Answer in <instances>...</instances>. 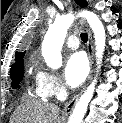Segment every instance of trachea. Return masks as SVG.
Listing matches in <instances>:
<instances>
[{
	"instance_id": "obj_1",
	"label": "trachea",
	"mask_w": 122,
	"mask_h": 123,
	"mask_svg": "<svg viewBox=\"0 0 122 123\" xmlns=\"http://www.w3.org/2000/svg\"><path fill=\"white\" fill-rule=\"evenodd\" d=\"M81 39H82V41L83 42H87V40H88V35H87V33H81Z\"/></svg>"
}]
</instances>
